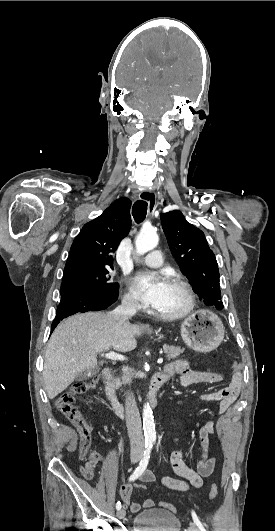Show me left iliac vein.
<instances>
[{
    "label": "left iliac vein",
    "mask_w": 275,
    "mask_h": 531,
    "mask_svg": "<svg viewBox=\"0 0 275 531\" xmlns=\"http://www.w3.org/2000/svg\"><path fill=\"white\" fill-rule=\"evenodd\" d=\"M190 529L191 531H200L193 521L190 522Z\"/></svg>",
    "instance_id": "obj_1"
}]
</instances>
